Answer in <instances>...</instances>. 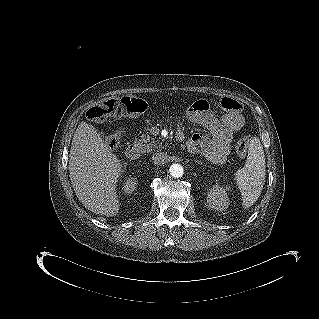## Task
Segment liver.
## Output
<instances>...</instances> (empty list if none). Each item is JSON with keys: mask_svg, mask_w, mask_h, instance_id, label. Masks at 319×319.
<instances>
[{"mask_svg": "<svg viewBox=\"0 0 319 319\" xmlns=\"http://www.w3.org/2000/svg\"><path fill=\"white\" fill-rule=\"evenodd\" d=\"M68 164L80 202L95 214L116 215L120 207L115 191L122 164L94 126L85 121L73 135Z\"/></svg>", "mask_w": 319, "mask_h": 319, "instance_id": "6515ba94", "label": "liver"}]
</instances>
